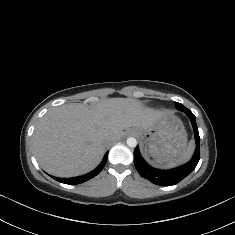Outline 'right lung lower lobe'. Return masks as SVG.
Masks as SVG:
<instances>
[{"label": "right lung lower lobe", "instance_id": "98d812e1", "mask_svg": "<svg viewBox=\"0 0 235 235\" xmlns=\"http://www.w3.org/2000/svg\"><path fill=\"white\" fill-rule=\"evenodd\" d=\"M108 158V153L105 154L104 159L102 160V162L100 163V165L94 169L93 171H91L90 173L83 175V176H79V177H74V178H57V177H52L55 180L61 182V183H66V184H70V185H76V184H80L83 183L85 181H88L89 179L95 177L96 175H98L100 173V171L103 169V167L106 164Z\"/></svg>", "mask_w": 235, "mask_h": 235}]
</instances>
